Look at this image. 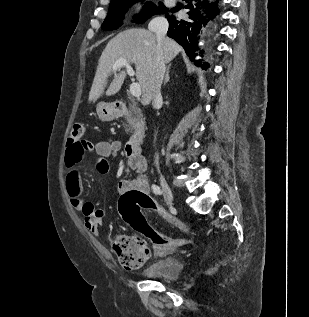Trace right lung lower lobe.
Returning <instances> with one entry per match:
<instances>
[{
    "instance_id": "98d812e1",
    "label": "right lung lower lobe",
    "mask_w": 309,
    "mask_h": 317,
    "mask_svg": "<svg viewBox=\"0 0 309 317\" xmlns=\"http://www.w3.org/2000/svg\"><path fill=\"white\" fill-rule=\"evenodd\" d=\"M178 5L174 11L181 9ZM216 3H209L208 0H191L185 8L189 9L187 14L189 17L185 20H176L174 16L166 14L169 22V30L167 35L176 40L185 50L189 58L193 61L197 56L195 53L197 47V35L199 34L202 25L205 26L209 20H212L217 14L218 9ZM201 10L204 11L201 13ZM167 10L163 13H166ZM203 53V51H201ZM202 61L198 60L197 64L201 65ZM209 67L208 63L202 65L203 69Z\"/></svg>"
}]
</instances>
